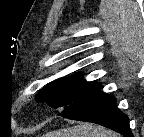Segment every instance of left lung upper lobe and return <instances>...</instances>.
<instances>
[{"label":"left lung upper lobe","mask_w":144,"mask_h":137,"mask_svg":"<svg viewBox=\"0 0 144 137\" xmlns=\"http://www.w3.org/2000/svg\"><path fill=\"white\" fill-rule=\"evenodd\" d=\"M82 76V73H77L52 81L41 89L35 98L51 108L64 109L78 99L85 90L93 89L99 85L96 82L86 83Z\"/></svg>","instance_id":"left-lung-upper-lobe-1"}]
</instances>
